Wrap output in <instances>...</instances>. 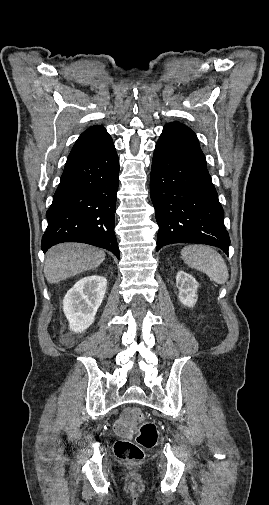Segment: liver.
Listing matches in <instances>:
<instances>
[{
	"mask_svg": "<svg viewBox=\"0 0 269 505\" xmlns=\"http://www.w3.org/2000/svg\"><path fill=\"white\" fill-rule=\"evenodd\" d=\"M105 259V252L82 243H62L46 254L44 274L51 284L94 269Z\"/></svg>",
	"mask_w": 269,
	"mask_h": 505,
	"instance_id": "obj_1",
	"label": "liver"
}]
</instances>
